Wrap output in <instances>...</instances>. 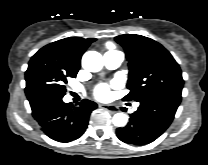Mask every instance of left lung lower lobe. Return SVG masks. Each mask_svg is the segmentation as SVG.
<instances>
[{
  "mask_svg": "<svg viewBox=\"0 0 208 165\" xmlns=\"http://www.w3.org/2000/svg\"><path fill=\"white\" fill-rule=\"evenodd\" d=\"M181 96L164 94L140 102L129 123L116 130L117 137L129 144L145 145L156 140L171 124Z\"/></svg>",
  "mask_w": 208,
  "mask_h": 165,
  "instance_id": "1",
  "label": "left lung lower lobe"
}]
</instances>
